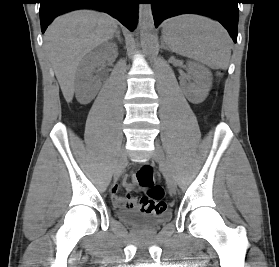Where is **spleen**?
Here are the masks:
<instances>
[{
	"label": "spleen",
	"instance_id": "spleen-1",
	"mask_svg": "<svg viewBox=\"0 0 279 267\" xmlns=\"http://www.w3.org/2000/svg\"><path fill=\"white\" fill-rule=\"evenodd\" d=\"M162 33L173 52L212 68H228L232 42L218 22L200 15H180L169 19Z\"/></svg>",
	"mask_w": 279,
	"mask_h": 267
}]
</instances>
